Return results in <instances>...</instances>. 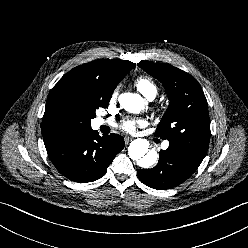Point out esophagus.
Listing matches in <instances>:
<instances>
[{"instance_id":"esophagus-1","label":"esophagus","mask_w":248,"mask_h":248,"mask_svg":"<svg viewBox=\"0 0 248 248\" xmlns=\"http://www.w3.org/2000/svg\"><path fill=\"white\" fill-rule=\"evenodd\" d=\"M131 140H132V139L129 138V137H125V138H124L125 144H128Z\"/></svg>"}]
</instances>
